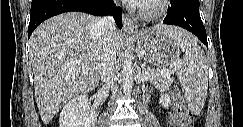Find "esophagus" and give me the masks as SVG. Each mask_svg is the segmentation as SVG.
Listing matches in <instances>:
<instances>
[{
  "label": "esophagus",
  "instance_id": "1",
  "mask_svg": "<svg viewBox=\"0 0 243 127\" xmlns=\"http://www.w3.org/2000/svg\"><path fill=\"white\" fill-rule=\"evenodd\" d=\"M123 30L126 34L129 35L135 33L133 21L127 15H123Z\"/></svg>",
  "mask_w": 243,
  "mask_h": 127
}]
</instances>
